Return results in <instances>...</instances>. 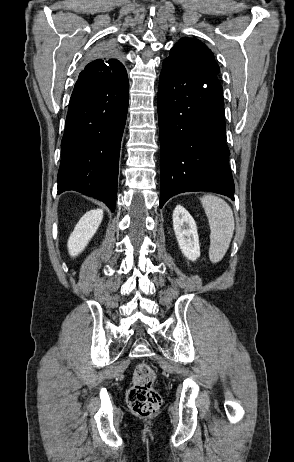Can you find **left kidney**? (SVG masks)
<instances>
[{
  "label": "left kidney",
  "mask_w": 294,
  "mask_h": 462,
  "mask_svg": "<svg viewBox=\"0 0 294 462\" xmlns=\"http://www.w3.org/2000/svg\"><path fill=\"white\" fill-rule=\"evenodd\" d=\"M173 229L183 255L195 261L200 256L199 237L196 223L189 212L178 205L173 211Z\"/></svg>",
  "instance_id": "obj_1"
}]
</instances>
